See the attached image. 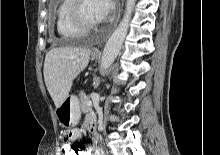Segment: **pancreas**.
<instances>
[{
    "label": "pancreas",
    "mask_w": 220,
    "mask_h": 155,
    "mask_svg": "<svg viewBox=\"0 0 220 155\" xmlns=\"http://www.w3.org/2000/svg\"><path fill=\"white\" fill-rule=\"evenodd\" d=\"M89 101V97L86 96L84 93H80V108L83 113L89 112L91 110V106L87 105Z\"/></svg>",
    "instance_id": "cf45deb5"
}]
</instances>
